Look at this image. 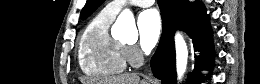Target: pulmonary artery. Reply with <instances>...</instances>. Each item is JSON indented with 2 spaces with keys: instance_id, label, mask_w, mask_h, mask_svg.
Returning <instances> with one entry per match:
<instances>
[{
  "instance_id": "pulmonary-artery-1",
  "label": "pulmonary artery",
  "mask_w": 260,
  "mask_h": 84,
  "mask_svg": "<svg viewBox=\"0 0 260 84\" xmlns=\"http://www.w3.org/2000/svg\"><path fill=\"white\" fill-rule=\"evenodd\" d=\"M154 4L153 0H134V1H113L108 3L104 10L111 15H117L121 10L129 5H137L139 7H148Z\"/></svg>"
}]
</instances>
